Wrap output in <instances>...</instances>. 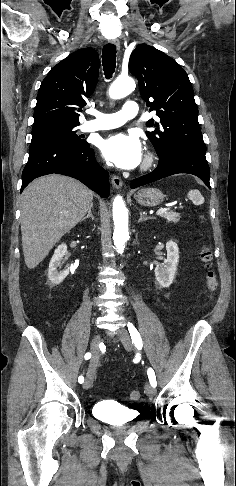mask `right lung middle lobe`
Returning <instances> with one entry per match:
<instances>
[{"mask_svg":"<svg viewBox=\"0 0 236 486\" xmlns=\"http://www.w3.org/2000/svg\"><path fill=\"white\" fill-rule=\"evenodd\" d=\"M79 124L46 123L32 127L31 143L57 142L66 145H82L86 141L76 134Z\"/></svg>","mask_w":236,"mask_h":486,"instance_id":"obj_1","label":"right lung middle lobe"}]
</instances>
